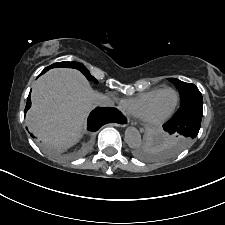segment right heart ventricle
Wrapping results in <instances>:
<instances>
[{"label":"right heart ventricle","mask_w":225,"mask_h":225,"mask_svg":"<svg viewBox=\"0 0 225 225\" xmlns=\"http://www.w3.org/2000/svg\"><path fill=\"white\" fill-rule=\"evenodd\" d=\"M161 89H153L142 92L139 95L129 98L124 102V108L136 117H140L146 105Z\"/></svg>","instance_id":"obj_1"}]
</instances>
